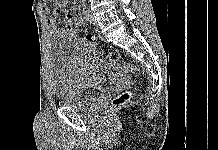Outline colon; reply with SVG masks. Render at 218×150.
<instances>
[{
    "label": "colon",
    "instance_id": "obj_1",
    "mask_svg": "<svg viewBox=\"0 0 218 150\" xmlns=\"http://www.w3.org/2000/svg\"><path fill=\"white\" fill-rule=\"evenodd\" d=\"M65 27H66L67 33L70 38L74 39L77 37L79 28H78V23H77V20L74 14L72 13L67 14V16L65 17ZM86 39L88 41H93L94 37L92 34H87ZM109 57L113 61H117L120 59V56L117 52L109 53ZM124 66L131 73L133 74L138 73V69L134 67L133 65H130L129 63H124ZM131 97H132V93L130 91L119 92L117 95L114 96L112 100V104L114 106L121 105L125 103L127 100H129Z\"/></svg>",
    "mask_w": 218,
    "mask_h": 150
}]
</instances>
